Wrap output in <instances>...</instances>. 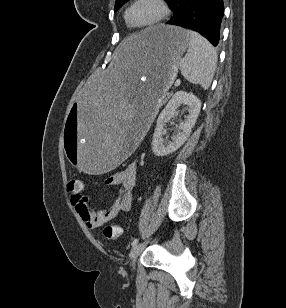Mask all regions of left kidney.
<instances>
[{
  "label": "left kidney",
  "instance_id": "obj_1",
  "mask_svg": "<svg viewBox=\"0 0 286 308\" xmlns=\"http://www.w3.org/2000/svg\"><path fill=\"white\" fill-rule=\"evenodd\" d=\"M186 105L188 116L179 124L178 132L173 136L172 141H164L166 123L174 118L175 111L180 105ZM201 109V101L193 93L177 91L169 100L166 107L160 113L157 119V126L153 134L152 151L156 156H165L176 151L188 139L192 128L198 118Z\"/></svg>",
  "mask_w": 286,
  "mask_h": 308
}]
</instances>
